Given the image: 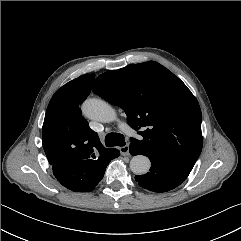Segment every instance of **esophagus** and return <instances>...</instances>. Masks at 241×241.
Instances as JSON below:
<instances>
[{"instance_id":"obj_1","label":"esophagus","mask_w":241,"mask_h":241,"mask_svg":"<svg viewBox=\"0 0 241 241\" xmlns=\"http://www.w3.org/2000/svg\"><path fill=\"white\" fill-rule=\"evenodd\" d=\"M120 152H121V154H122L123 156L129 155V154H130V153H129V145L126 144L125 146L121 147V148H120Z\"/></svg>"}]
</instances>
